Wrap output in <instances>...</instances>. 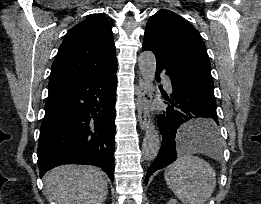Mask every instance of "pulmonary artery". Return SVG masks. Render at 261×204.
<instances>
[{
    "label": "pulmonary artery",
    "instance_id": "e3ab8cb5",
    "mask_svg": "<svg viewBox=\"0 0 261 204\" xmlns=\"http://www.w3.org/2000/svg\"><path fill=\"white\" fill-rule=\"evenodd\" d=\"M163 81H164V84L166 86V88L169 90V91H172V84H171V80L168 76H163Z\"/></svg>",
    "mask_w": 261,
    "mask_h": 204
}]
</instances>
